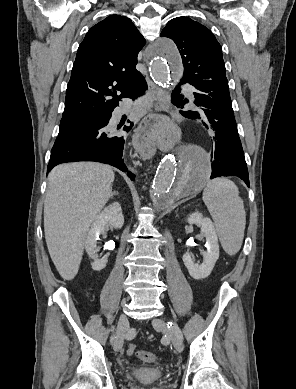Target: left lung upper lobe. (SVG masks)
Masks as SVG:
<instances>
[{
	"label": "left lung upper lobe",
	"mask_w": 296,
	"mask_h": 389,
	"mask_svg": "<svg viewBox=\"0 0 296 389\" xmlns=\"http://www.w3.org/2000/svg\"><path fill=\"white\" fill-rule=\"evenodd\" d=\"M160 36L171 38L179 49L184 66L181 83L227 80L222 48L204 25L177 17L167 23Z\"/></svg>",
	"instance_id": "1"
}]
</instances>
